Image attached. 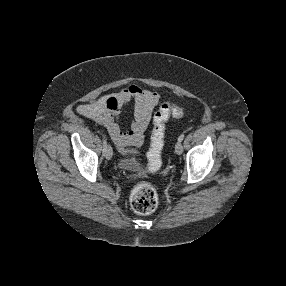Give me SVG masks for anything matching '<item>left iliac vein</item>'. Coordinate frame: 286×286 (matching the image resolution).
I'll use <instances>...</instances> for the list:
<instances>
[{"label":"left iliac vein","instance_id":"1","mask_svg":"<svg viewBox=\"0 0 286 286\" xmlns=\"http://www.w3.org/2000/svg\"><path fill=\"white\" fill-rule=\"evenodd\" d=\"M175 152L176 154L178 155H181L182 152H183V146H182V143L181 142H177L176 145H175Z\"/></svg>","mask_w":286,"mask_h":286}]
</instances>
